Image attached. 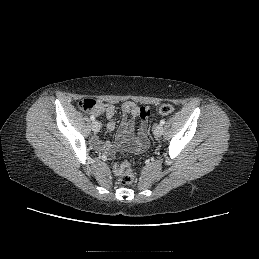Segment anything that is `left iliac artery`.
Masks as SVG:
<instances>
[{
    "label": "left iliac artery",
    "instance_id": "44dca946",
    "mask_svg": "<svg viewBox=\"0 0 259 259\" xmlns=\"http://www.w3.org/2000/svg\"><path fill=\"white\" fill-rule=\"evenodd\" d=\"M164 124H165V120L162 119V120L160 121V125H164Z\"/></svg>",
    "mask_w": 259,
    "mask_h": 259
}]
</instances>
